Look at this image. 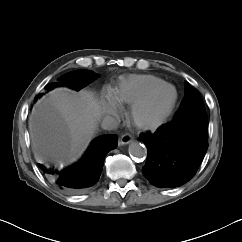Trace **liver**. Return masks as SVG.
I'll list each match as a JSON object with an SVG mask.
<instances>
[{"instance_id":"obj_1","label":"liver","mask_w":242,"mask_h":242,"mask_svg":"<svg viewBox=\"0 0 242 242\" xmlns=\"http://www.w3.org/2000/svg\"><path fill=\"white\" fill-rule=\"evenodd\" d=\"M100 115L88 91H51L34 105L29 119L34 152L61 164L75 161L93 138Z\"/></svg>"}]
</instances>
